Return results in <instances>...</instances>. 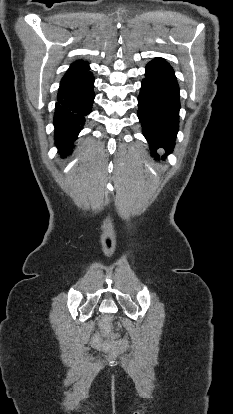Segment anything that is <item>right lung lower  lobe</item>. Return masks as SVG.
Returning <instances> with one entry per match:
<instances>
[{
	"label": "right lung lower lobe",
	"instance_id": "obj_1",
	"mask_svg": "<svg viewBox=\"0 0 233 414\" xmlns=\"http://www.w3.org/2000/svg\"><path fill=\"white\" fill-rule=\"evenodd\" d=\"M88 70H68L60 82L53 123L56 146L63 157L72 152L85 116L91 112L94 77Z\"/></svg>",
	"mask_w": 233,
	"mask_h": 414
}]
</instances>
